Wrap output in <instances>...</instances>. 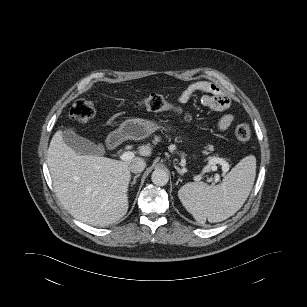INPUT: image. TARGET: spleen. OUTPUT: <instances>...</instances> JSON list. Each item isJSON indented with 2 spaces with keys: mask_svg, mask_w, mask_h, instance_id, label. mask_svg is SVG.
Segmentation results:
<instances>
[{
  "mask_svg": "<svg viewBox=\"0 0 307 307\" xmlns=\"http://www.w3.org/2000/svg\"><path fill=\"white\" fill-rule=\"evenodd\" d=\"M255 176L256 158L249 155L231 169L221 184L187 183L178 191V197L197 222H221L234 215L245 203Z\"/></svg>",
  "mask_w": 307,
  "mask_h": 307,
  "instance_id": "obj_1",
  "label": "spleen"
}]
</instances>
